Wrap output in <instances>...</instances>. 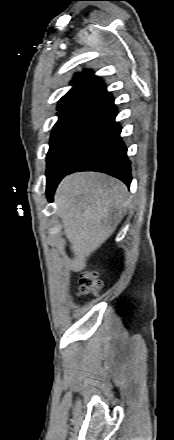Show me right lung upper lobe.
Returning <instances> with one entry per match:
<instances>
[{"instance_id":"1","label":"right lung upper lobe","mask_w":174,"mask_h":440,"mask_svg":"<svg viewBox=\"0 0 174 440\" xmlns=\"http://www.w3.org/2000/svg\"><path fill=\"white\" fill-rule=\"evenodd\" d=\"M72 84L74 85L73 88L58 103L57 109L59 111L89 99L99 98L107 92L102 81L88 70H85L82 74H76Z\"/></svg>"}]
</instances>
